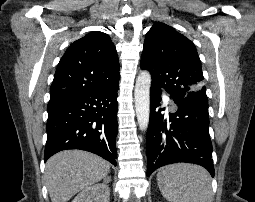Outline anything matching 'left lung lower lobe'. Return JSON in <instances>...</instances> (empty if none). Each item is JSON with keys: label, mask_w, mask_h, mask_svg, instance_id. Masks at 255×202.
I'll return each instance as SVG.
<instances>
[{"label": "left lung lower lobe", "mask_w": 255, "mask_h": 202, "mask_svg": "<svg viewBox=\"0 0 255 202\" xmlns=\"http://www.w3.org/2000/svg\"><path fill=\"white\" fill-rule=\"evenodd\" d=\"M175 113L155 111L160 106L161 91L150 90V120L147 131V176L157 168L177 163H194L214 176L212 143L209 136L208 106L172 98Z\"/></svg>", "instance_id": "1"}]
</instances>
